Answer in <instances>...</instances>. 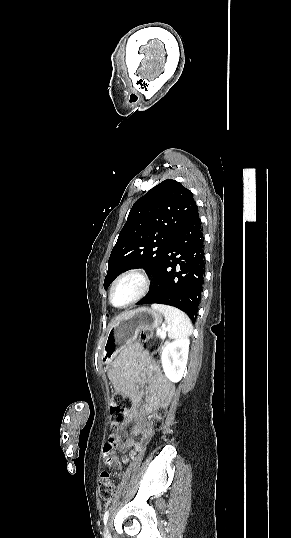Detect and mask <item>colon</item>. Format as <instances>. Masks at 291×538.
Wrapping results in <instances>:
<instances>
[{
  "label": "colon",
  "instance_id": "colon-1",
  "mask_svg": "<svg viewBox=\"0 0 291 538\" xmlns=\"http://www.w3.org/2000/svg\"><path fill=\"white\" fill-rule=\"evenodd\" d=\"M140 341L145 349L154 359L158 360L162 346L156 336L150 331H143L140 335ZM132 406L131 400L116 392L110 400L111 425L114 429H118L124 422L128 412ZM166 416L164 408H158L150 417L152 428L159 430L163 425V419ZM104 461L108 466L116 464V457L112 444L106 443L104 446ZM99 494L102 498H110L115 493V482L109 472H103L99 478Z\"/></svg>",
  "mask_w": 291,
  "mask_h": 538
}]
</instances>
